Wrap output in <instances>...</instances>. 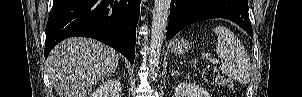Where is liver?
Returning <instances> with one entry per match:
<instances>
[{"label":"liver","instance_id":"obj_1","mask_svg":"<svg viewBox=\"0 0 302 97\" xmlns=\"http://www.w3.org/2000/svg\"><path fill=\"white\" fill-rule=\"evenodd\" d=\"M118 53L89 38H69L48 56V72L60 97H87L118 66Z\"/></svg>","mask_w":302,"mask_h":97}]
</instances>
